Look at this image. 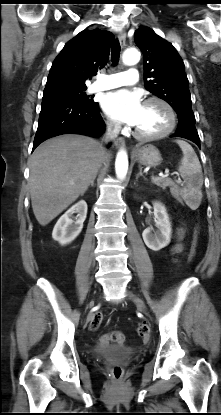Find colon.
Instances as JSON below:
<instances>
[{
    "label": "colon",
    "instance_id": "colon-1",
    "mask_svg": "<svg viewBox=\"0 0 221 415\" xmlns=\"http://www.w3.org/2000/svg\"><path fill=\"white\" fill-rule=\"evenodd\" d=\"M170 194L173 195V198L178 201L179 203L183 202L181 192L178 190V186H173V188L170 189ZM181 207H184V204H181ZM198 235L199 230L196 229L193 244L190 250L189 254V261L192 262L196 256L197 252V245H198ZM102 322V314L101 313H95L91 322L90 327L92 330H97ZM137 333L138 335L143 338L147 339L149 336V328L145 323H140L137 327ZM109 340L115 341L118 344H123L125 342V336L121 331H113L108 335H104L101 337L100 342L101 344H107ZM123 375V369L122 367L115 365L111 369V376L115 380H120Z\"/></svg>",
    "mask_w": 221,
    "mask_h": 415
}]
</instances>
